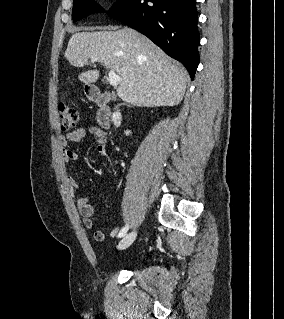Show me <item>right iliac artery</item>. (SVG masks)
I'll return each instance as SVG.
<instances>
[{
    "label": "right iliac artery",
    "mask_w": 284,
    "mask_h": 319,
    "mask_svg": "<svg viewBox=\"0 0 284 319\" xmlns=\"http://www.w3.org/2000/svg\"><path fill=\"white\" fill-rule=\"evenodd\" d=\"M128 229H129V225L124 226V227L120 230V232H119V234H118V237H123V236L127 233Z\"/></svg>",
    "instance_id": "right-iliac-artery-1"
}]
</instances>
